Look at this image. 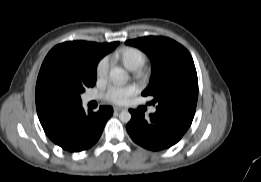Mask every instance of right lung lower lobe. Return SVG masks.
I'll return each instance as SVG.
<instances>
[{"label":"right lung lower lobe","instance_id":"98d812e1","mask_svg":"<svg viewBox=\"0 0 261 182\" xmlns=\"http://www.w3.org/2000/svg\"><path fill=\"white\" fill-rule=\"evenodd\" d=\"M112 114L113 108L110 106H101L96 113L92 110L86 113L82 102L75 103L58 111L42 127L55 144L64 150L78 152L98 141Z\"/></svg>","mask_w":261,"mask_h":182}]
</instances>
